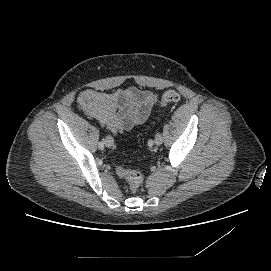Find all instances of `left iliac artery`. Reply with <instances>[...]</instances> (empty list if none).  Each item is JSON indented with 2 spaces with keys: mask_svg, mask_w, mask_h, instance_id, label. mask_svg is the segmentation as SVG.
Returning a JSON list of instances; mask_svg holds the SVG:
<instances>
[{
  "mask_svg": "<svg viewBox=\"0 0 271 271\" xmlns=\"http://www.w3.org/2000/svg\"><path fill=\"white\" fill-rule=\"evenodd\" d=\"M153 144H154V141H153V140H149V141H148V145H149V146H153Z\"/></svg>",
  "mask_w": 271,
  "mask_h": 271,
  "instance_id": "obj_1",
  "label": "left iliac artery"
}]
</instances>
